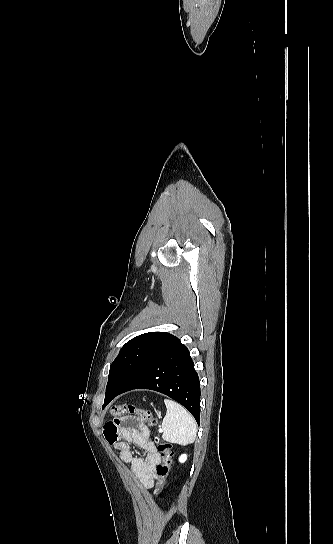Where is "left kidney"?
<instances>
[{
	"label": "left kidney",
	"instance_id": "left-kidney-1",
	"mask_svg": "<svg viewBox=\"0 0 333 544\" xmlns=\"http://www.w3.org/2000/svg\"><path fill=\"white\" fill-rule=\"evenodd\" d=\"M186 460H187V455H186V454H182V455L179 457V461H180L181 463H184Z\"/></svg>",
	"mask_w": 333,
	"mask_h": 544
}]
</instances>
